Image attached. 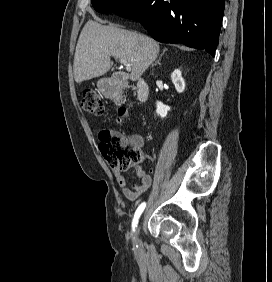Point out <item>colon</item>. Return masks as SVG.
I'll list each match as a JSON object with an SVG mask.
<instances>
[{
    "mask_svg": "<svg viewBox=\"0 0 272 282\" xmlns=\"http://www.w3.org/2000/svg\"><path fill=\"white\" fill-rule=\"evenodd\" d=\"M81 105L83 109L93 115L105 114V107L98 93L84 90L81 94ZM126 115V109H122L117 117L118 121ZM100 150L107 164L120 172H126L143 160V152L140 147L121 135L120 133L103 129L98 135Z\"/></svg>",
    "mask_w": 272,
    "mask_h": 282,
    "instance_id": "colon-1",
    "label": "colon"
}]
</instances>
